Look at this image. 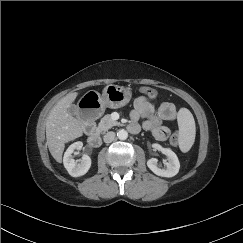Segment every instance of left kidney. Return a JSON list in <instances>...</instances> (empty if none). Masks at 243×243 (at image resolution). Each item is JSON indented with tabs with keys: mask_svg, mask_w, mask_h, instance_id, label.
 <instances>
[{
	"mask_svg": "<svg viewBox=\"0 0 243 243\" xmlns=\"http://www.w3.org/2000/svg\"><path fill=\"white\" fill-rule=\"evenodd\" d=\"M153 148L161 151L167 156L168 162L165 168H160L157 165L158 160L151 158L147 161L148 168L158 176L161 177H173L179 172L180 163L177 155L169 148H163L159 144H153Z\"/></svg>",
	"mask_w": 243,
	"mask_h": 243,
	"instance_id": "1",
	"label": "left kidney"
}]
</instances>
